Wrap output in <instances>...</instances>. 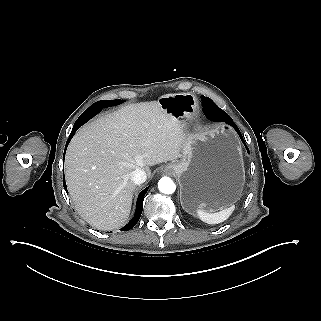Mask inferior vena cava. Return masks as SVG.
<instances>
[{
    "label": "inferior vena cava",
    "instance_id": "602c4592",
    "mask_svg": "<svg viewBox=\"0 0 321 321\" xmlns=\"http://www.w3.org/2000/svg\"><path fill=\"white\" fill-rule=\"evenodd\" d=\"M130 177L136 185L142 184L147 178L146 172L142 169H136L132 171L130 173Z\"/></svg>",
    "mask_w": 321,
    "mask_h": 321
}]
</instances>
